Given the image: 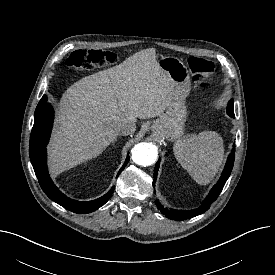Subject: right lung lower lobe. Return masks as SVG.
<instances>
[{
    "instance_id": "1",
    "label": "right lung lower lobe",
    "mask_w": 275,
    "mask_h": 275,
    "mask_svg": "<svg viewBox=\"0 0 275 275\" xmlns=\"http://www.w3.org/2000/svg\"><path fill=\"white\" fill-rule=\"evenodd\" d=\"M46 99L47 97L44 95L35 110L34 125L30 135L29 154L35 174L42 190L51 200L78 214L91 213L104 205L110 199L114 191V187L98 199L79 202L67 199L54 185L49 177L46 164V145L50 138L54 111L52 106L46 102ZM128 161L129 156H127L125 163L121 167L118 174L125 168Z\"/></svg>"
}]
</instances>
